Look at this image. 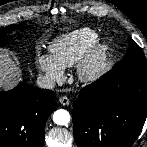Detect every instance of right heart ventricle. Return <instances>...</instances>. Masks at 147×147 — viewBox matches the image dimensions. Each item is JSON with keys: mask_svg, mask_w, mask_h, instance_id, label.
I'll return each instance as SVG.
<instances>
[{"mask_svg": "<svg viewBox=\"0 0 147 147\" xmlns=\"http://www.w3.org/2000/svg\"><path fill=\"white\" fill-rule=\"evenodd\" d=\"M98 37L90 28H80L63 34L50 43V56L63 68L74 66Z\"/></svg>", "mask_w": 147, "mask_h": 147, "instance_id": "1", "label": "right heart ventricle"}]
</instances>
